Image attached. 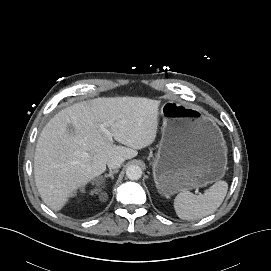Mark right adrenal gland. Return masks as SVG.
<instances>
[{"instance_id":"2a0ac1e0","label":"right adrenal gland","mask_w":271,"mask_h":271,"mask_svg":"<svg viewBox=\"0 0 271 271\" xmlns=\"http://www.w3.org/2000/svg\"><path fill=\"white\" fill-rule=\"evenodd\" d=\"M117 172H118V169H115V170H113V171H110L109 174H106L104 177H105V178L110 177L111 179H114V176H113V175H114L115 173H117Z\"/></svg>"}]
</instances>
